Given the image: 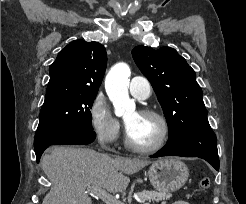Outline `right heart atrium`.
<instances>
[{
    "instance_id": "right-heart-atrium-1",
    "label": "right heart atrium",
    "mask_w": 246,
    "mask_h": 204,
    "mask_svg": "<svg viewBox=\"0 0 246 204\" xmlns=\"http://www.w3.org/2000/svg\"><path fill=\"white\" fill-rule=\"evenodd\" d=\"M90 124L96 139L101 144H112L120 136V122L101 95H97L91 104Z\"/></svg>"
}]
</instances>
